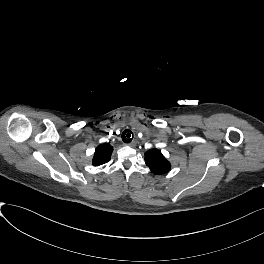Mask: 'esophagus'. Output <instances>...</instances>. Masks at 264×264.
<instances>
[{"instance_id": "esophagus-1", "label": "esophagus", "mask_w": 264, "mask_h": 264, "mask_svg": "<svg viewBox=\"0 0 264 264\" xmlns=\"http://www.w3.org/2000/svg\"><path fill=\"white\" fill-rule=\"evenodd\" d=\"M125 145H127V146H134L135 145V142H131V143H128V144H125Z\"/></svg>"}]
</instances>
